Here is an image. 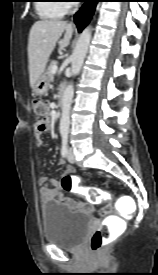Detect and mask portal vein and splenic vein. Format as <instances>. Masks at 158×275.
Here are the masks:
<instances>
[{
	"label": "portal vein and splenic vein",
	"mask_w": 158,
	"mask_h": 275,
	"mask_svg": "<svg viewBox=\"0 0 158 275\" xmlns=\"http://www.w3.org/2000/svg\"><path fill=\"white\" fill-rule=\"evenodd\" d=\"M56 71H57V66L55 65L52 67L51 73L54 74V73H56Z\"/></svg>",
	"instance_id": "obj_1"
}]
</instances>
